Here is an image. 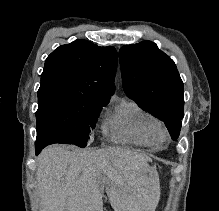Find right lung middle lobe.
I'll return each mask as SVG.
<instances>
[{
    "label": "right lung middle lobe",
    "mask_w": 219,
    "mask_h": 211,
    "mask_svg": "<svg viewBox=\"0 0 219 211\" xmlns=\"http://www.w3.org/2000/svg\"><path fill=\"white\" fill-rule=\"evenodd\" d=\"M106 104L58 93L38 95L37 139H58L61 143L87 146L90 132Z\"/></svg>",
    "instance_id": "right-lung-middle-lobe-1"
}]
</instances>
